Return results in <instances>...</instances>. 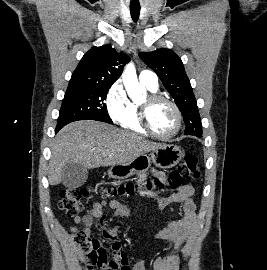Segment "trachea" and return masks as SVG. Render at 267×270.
<instances>
[{"label": "trachea", "instance_id": "1", "mask_svg": "<svg viewBox=\"0 0 267 270\" xmlns=\"http://www.w3.org/2000/svg\"><path fill=\"white\" fill-rule=\"evenodd\" d=\"M131 17L134 21L139 19L140 15V6L139 7H130Z\"/></svg>", "mask_w": 267, "mask_h": 270}]
</instances>
